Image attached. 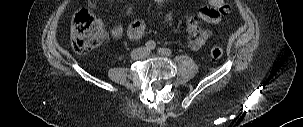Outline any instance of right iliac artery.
Returning <instances> with one entry per match:
<instances>
[{
  "label": "right iliac artery",
  "mask_w": 303,
  "mask_h": 127,
  "mask_svg": "<svg viewBox=\"0 0 303 127\" xmlns=\"http://www.w3.org/2000/svg\"><path fill=\"white\" fill-rule=\"evenodd\" d=\"M147 50H154L156 48V44L154 41L150 40L146 43Z\"/></svg>",
  "instance_id": "1"
}]
</instances>
